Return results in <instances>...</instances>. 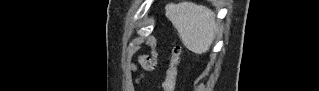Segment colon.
I'll list each match as a JSON object with an SVG mask.
<instances>
[{
  "instance_id": "colon-1",
  "label": "colon",
  "mask_w": 319,
  "mask_h": 91,
  "mask_svg": "<svg viewBox=\"0 0 319 91\" xmlns=\"http://www.w3.org/2000/svg\"><path fill=\"white\" fill-rule=\"evenodd\" d=\"M181 62V49L178 45H174L172 49L170 66L166 74V79L163 85L165 91H173L176 86V79L178 76L179 66ZM142 64L146 67H152L154 61L150 57H144Z\"/></svg>"
}]
</instances>
